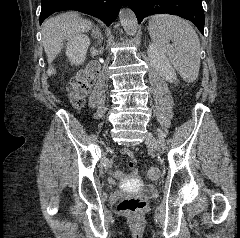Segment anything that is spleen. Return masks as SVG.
I'll return each instance as SVG.
<instances>
[{
	"mask_svg": "<svg viewBox=\"0 0 240 238\" xmlns=\"http://www.w3.org/2000/svg\"><path fill=\"white\" fill-rule=\"evenodd\" d=\"M150 37L186 82L196 80L200 69V41L191 25L177 16L155 15L148 25ZM172 41V44L169 43Z\"/></svg>",
	"mask_w": 240,
	"mask_h": 238,
	"instance_id": "3e777b00",
	"label": "spleen"
}]
</instances>
